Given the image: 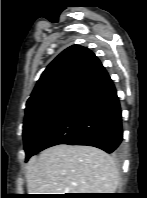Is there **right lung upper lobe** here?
Instances as JSON below:
<instances>
[{
  "label": "right lung upper lobe",
  "instance_id": "right-lung-upper-lobe-1",
  "mask_svg": "<svg viewBox=\"0 0 147 198\" xmlns=\"http://www.w3.org/2000/svg\"><path fill=\"white\" fill-rule=\"evenodd\" d=\"M108 76L87 48L73 45L45 69L26 103V113L55 102H76Z\"/></svg>",
  "mask_w": 147,
  "mask_h": 198
}]
</instances>
